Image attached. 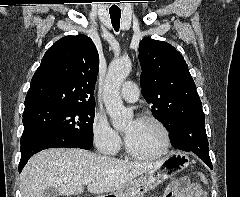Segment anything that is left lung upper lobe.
I'll return each instance as SVG.
<instances>
[{
	"label": "left lung upper lobe",
	"instance_id": "left-lung-upper-lobe-1",
	"mask_svg": "<svg viewBox=\"0 0 240 197\" xmlns=\"http://www.w3.org/2000/svg\"><path fill=\"white\" fill-rule=\"evenodd\" d=\"M142 95L169 131L182 115L202 109L184 57L169 43L143 38L139 44Z\"/></svg>",
	"mask_w": 240,
	"mask_h": 197
}]
</instances>
